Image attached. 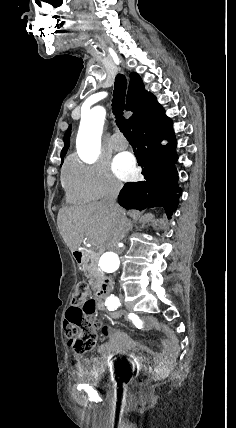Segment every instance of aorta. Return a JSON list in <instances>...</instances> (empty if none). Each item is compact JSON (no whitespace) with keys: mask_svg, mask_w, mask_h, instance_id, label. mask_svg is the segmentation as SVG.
<instances>
[{"mask_svg":"<svg viewBox=\"0 0 236 428\" xmlns=\"http://www.w3.org/2000/svg\"><path fill=\"white\" fill-rule=\"evenodd\" d=\"M105 115V109L96 106L81 117L76 143L80 157L87 162L96 160L100 153ZM119 265V257L113 251L104 253L99 261V267L105 273L117 271Z\"/></svg>","mask_w":236,"mask_h":428,"instance_id":"obj_1","label":"aorta"}]
</instances>
